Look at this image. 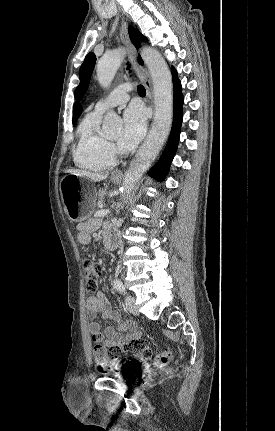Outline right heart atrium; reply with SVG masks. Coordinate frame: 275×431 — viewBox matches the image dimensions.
Returning a JSON list of instances; mask_svg holds the SVG:
<instances>
[{"mask_svg":"<svg viewBox=\"0 0 275 431\" xmlns=\"http://www.w3.org/2000/svg\"><path fill=\"white\" fill-rule=\"evenodd\" d=\"M110 150H111L112 153H114L116 151L114 145L110 144Z\"/></svg>","mask_w":275,"mask_h":431,"instance_id":"right-heart-atrium-1","label":"right heart atrium"}]
</instances>
